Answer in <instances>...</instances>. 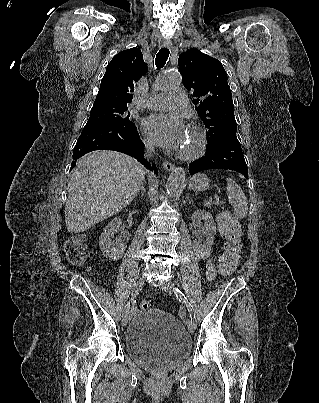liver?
<instances>
[{
  "label": "liver",
  "instance_id": "liver-1",
  "mask_svg": "<svg viewBox=\"0 0 319 403\" xmlns=\"http://www.w3.org/2000/svg\"><path fill=\"white\" fill-rule=\"evenodd\" d=\"M146 174L134 158L114 151L88 153L68 183L65 224L80 233L117 214L135 198Z\"/></svg>",
  "mask_w": 319,
  "mask_h": 403
}]
</instances>
